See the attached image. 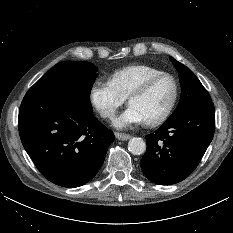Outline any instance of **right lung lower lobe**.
<instances>
[{
    "mask_svg": "<svg viewBox=\"0 0 233 233\" xmlns=\"http://www.w3.org/2000/svg\"><path fill=\"white\" fill-rule=\"evenodd\" d=\"M22 144L41 174L54 184L79 187L100 169L115 137L75 99L27 92L19 110Z\"/></svg>",
    "mask_w": 233,
    "mask_h": 233,
    "instance_id": "98d812e1",
    "label": "right lung lower lobe"
}]
</instances>
